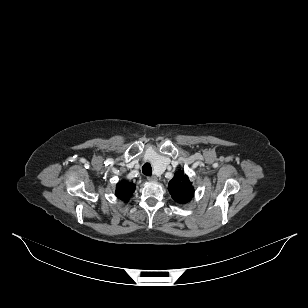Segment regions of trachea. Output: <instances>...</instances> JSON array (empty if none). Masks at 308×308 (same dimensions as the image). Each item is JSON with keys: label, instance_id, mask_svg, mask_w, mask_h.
Wrapping results in <instances>:
<instances>
[{"label": "trachea", "instance_id": "1", "mask_svg": "<svg viewBox=\"0 0 308 308\" xmlns=\"http://www.w3.org/2000/svg\"><path fill=\"white\" fill-rule=\"evenodd\" d=\"M142 172L146 176H151L152 175V167L149 163H145L142 167Z\"/></svg>", "mask_w": 308, "mask_h": 308}]
</instances>
